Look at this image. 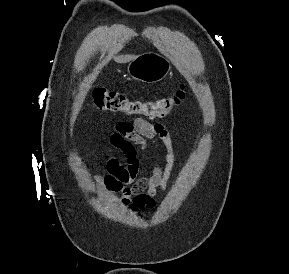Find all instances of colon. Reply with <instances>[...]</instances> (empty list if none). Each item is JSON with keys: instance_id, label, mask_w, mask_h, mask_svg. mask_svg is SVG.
<instances>
[{"instance_id": "1", "label": "colon", "mask_w": 289, "mask_h": 274, "mask_svg": "<svg viewBox=\"0 0 289 274\" xmlns=\"http://www.w3.org/2000/svg\"><path fill=\"white\" fill-rule=\"evenodd\" d=\"M92 96L93 103L99 110L157 119L171 114L183 102L186 92L185 86L181 85L176 93L170 97L142 101L132 99L119 91L101 88L96 89Z\"/></svg>"}]
</instances>
